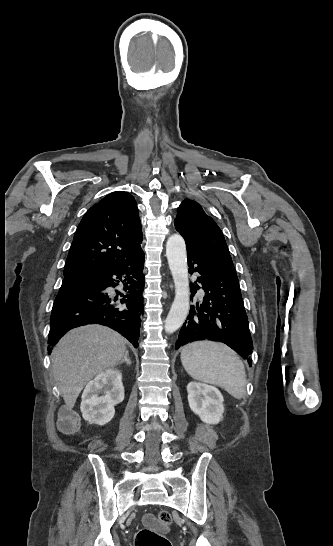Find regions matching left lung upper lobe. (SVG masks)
Segmentation results:
<instances>
[{
    "label": "left lung upper lobe",
    "instance_id": "left-lung-upper-lobe-1",
    "mask_svg": "<svg viewBox=\"0 0 333 546\" xmlns=\"http://www.w3.org/2000/svg\"><path fill=\"white\" fill-rule=\"evenodd\" d=\"M176 230L197 252L221 263L232 264L224 236L214 222L205 214L200 204L184 200L174 221Z\"/></svg>",
    "mask_w": 333,
    "mask_h": 546
}]
</instances>
